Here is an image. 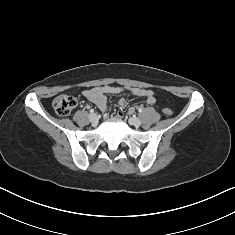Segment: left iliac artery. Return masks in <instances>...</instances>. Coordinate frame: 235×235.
Masks as SVG:
<instances>
[{
	"label": "left iliac artery",
	"mask_w": 235,
	"mask_h": 235,
	"mask_svg": "<svg viewBox=\"0 0 235 235\" xmlns=\"http://www.w3.org/2000/svg\"><path fill=\"white\" fill-rule=\"evenodd\" d=\"M138 111L141 113L142 112V108H139Z\"/></svg>",
	"instance_id": "left-iliac-artery-1"
}]
</instances>
